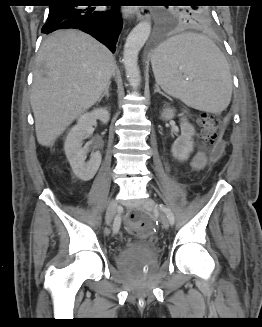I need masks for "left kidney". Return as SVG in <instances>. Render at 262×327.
<instances>
[{
  "label": "left kidney",
  "instance_id": "1",
  "mask_svg": "<svg viewBox=\"0 0 262 327\" xmlns=\"http://www.w3.org/2000/svg\"><path fill=\"white\" fill-rule=\"evenodd\" d=\"M174 115L175 111L167 108L161 113V118L164 120H169L173 118ZM180 128L181 135L173 143L171 152L175 159H178L179 161H186L194 149L193 136L195 135V128L185 118L181 119Z\"/></svg>",
  "mask_w": 262,
  "mask_h": 327
}]
</instances>
